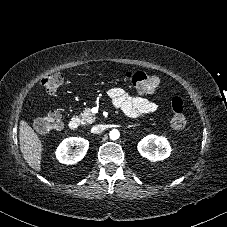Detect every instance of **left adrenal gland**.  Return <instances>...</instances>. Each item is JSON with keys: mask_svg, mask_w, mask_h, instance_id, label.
Segmentation results:
<instances>
[{"mask_svg": "<svg viewBox=\"0 0 227 227\" xmlns=\"http://www.w3.org/2000/svg\"><path fill=\"white\" fill-rule=\"evenodd\" d=\"M135 126H136V125H129L128 128H130V127H135Z\"/></svg>", "mask_w": 227, "mask_h": 227, "instance_id": "1", "label": "left adrenal gland"}]
</instances>
